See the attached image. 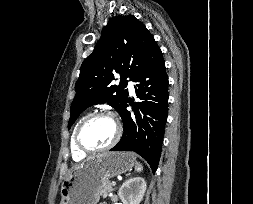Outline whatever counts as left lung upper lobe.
<instances>
[{
    "label": "left lung upper lobe",
    "instance_id": "5c2ea615",
    "mask_svg": "<svg viewBox=\"0 0 253 204\" xmlns=\"http://www.w3.org/2000/svg\"><path fill=\"white\" fill-rule=\"evenodd\" d=\"M155 44L145 25L133 15L112 18L92 54L81 65L68 129L93 104L107 102L120 114L128 95L124 79L136 78ZM116 74L121 76L123 87L111 85Z\"/></svg>",
    "mask_w": 253,
    "mask_h": 204
}]
</instances>
